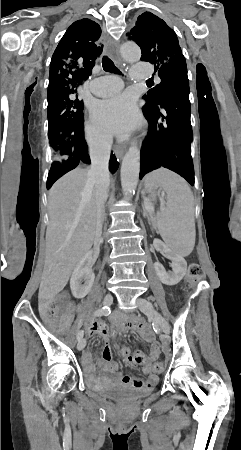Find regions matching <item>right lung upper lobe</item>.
Here are the masks:
<instances>
[{"label":"right lung upper lobe","instance_id":"cb5924a9","mask_svg":"<svg viewBox=\"0 0 241 450\" xmlns=\"http://www.w3.org/2000/svg\"><path fill=\"white\" fill-rule=\"evenodd\" d=\"M100 26L90 20L74 22L55 49L49 73L48 99L77 90L91 75L102 53Z\"/></svg>","mask_w":241,"mask_h":450}]
</instances>
